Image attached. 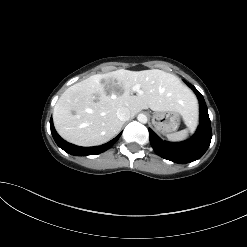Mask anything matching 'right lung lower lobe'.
Returning a JSON list of instances; mask_svg holds the SVG:
<instances>
[{
  "label": "right lung lower lobe",
  "mask_w": 247,
  "mask_h": 247,
  "mask_svg": "<svg viewBox=\"0 0 247 247\" xmlns=\"http://www.w3.org/2000/svg\"><path fill=\"white\" fill-rule=\"evenodd\" d=\"M50 129L52 136L56 142V144L63 149L65 152L71 154V155H76V156H87V155H96L99 153H102L109 149L120 137L121 133L117 135L114 139L109 141L106 144H103L101 146H95V147H80L76 146L73 144H70L63 140L56 132L53 126V121L52 118L50 119Z\"/></svg>",
  "instance_id": "98d812e1"
}]
</instances>
